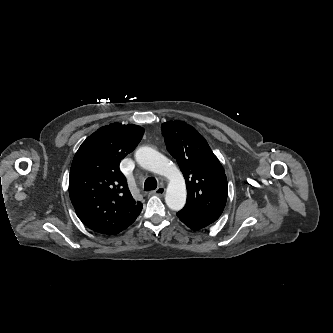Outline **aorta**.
I'll list each match as a JSON object with an SVG mask.
<instances>
[{
  "label": "aorta",
  "mask_w": 333,
  "mask_h": 333,
  "mask_svg": "<svg viewBox=\"0 0 333 333\" xmlns=\"http://www.w3.org/2000/svg\"><path fill=\"white\" fill-rule=\"evenodd\" d=\"M137 163L143 168L162 175L168 179L165 195L167 206L172 210H180L186 202V186L180 170L169 160L150 147H141L135 153Z\"/></svg>",
  "instance_id": "762f6f07"
}]
</instances>
